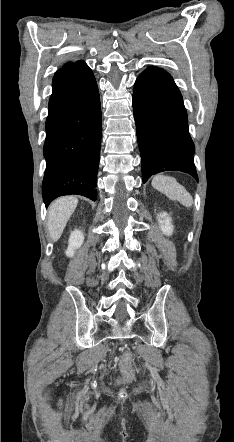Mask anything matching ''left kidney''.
<instances>
[{
    "instance_id": "obj_1",
    "label": "left kidney",
    "mask_w": 234,
    "mask_h": 442,
    "mask_svg": "<svg viewBox=\"0 0 234 442\" xmlns=\"http://www.w3.org/2000/svg\"><path fill=\"white\" fill-rule=\"evenodd\" d=\"M158 222L160 224L161 231L170 236L173 233L174 227L172 225V218L168 216L166 212L158 215Z\"/></svg>"
}]
</instances>
